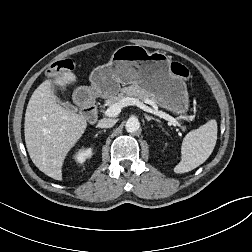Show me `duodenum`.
Wrapping results in <instances>:
<instances>
[{
    "instance_id": "obj_1",
    "label": "duodenum",
    "mask_w": 252,
    "mask_h": 252,
    "mask_svg": "<svg viewBox=\"0 0 252 252\" xmlns=\"http://www.w3.org/2000/svg\"><path fill=\"white\" fill-rule=\"evenodd\" d=\"M85 113L87 117H89L91 120H95L97 118V106L94 103L87 104L85 108Z\"/></svg>"
}]
</instances>
